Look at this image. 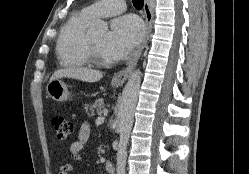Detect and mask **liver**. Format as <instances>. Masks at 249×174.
I'll use <instances>...</instances> for the list:
<instances>
[{"label": "liver", "instance_id": "liver-1", "mask_svg": "<svg viewBox=\"0 0 249 174\" xmlns=\"http://www.w3.org/2000/svg\"><path fill=\"white\" fill-rule=\"evenodd\" d=\"M64 77L92 83L99 81L103 75L100 71L88 68H65L56 71L50 81Z\"/></svg>", "mask_w": 249, "mask_h": 174}]
</instances>
